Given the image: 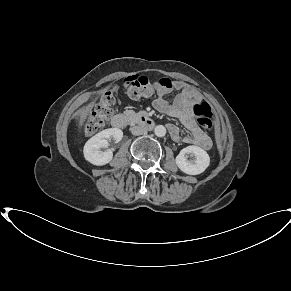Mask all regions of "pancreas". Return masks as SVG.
Here are the masks:
<instances>
[{
    "label": "pancreas",
    "instance_id": "pancreas-1",
    "mask_svg": "<svg viewBox=\"0 0 291 291\" xmlns=\"http://www.w3.org/2000/svg\"><path fill=\"white\" fill-rule=\"evenodd\" d=\"M124 114L129 118V120L131 121V124H134V123H136L138 121V119L141 116L145 115L146 112L145 111H140V112L137 113V112H135L133 110H126L124 112Z\"/></svg>",
    "mask_w": 291,
    "mask_h": 291
}]
</instances>
